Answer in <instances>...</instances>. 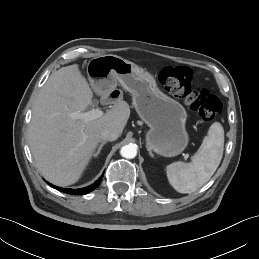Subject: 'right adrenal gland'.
<instances>
[{
  "instance_id": "right-adrenal-gland-1",
  "label": "right adrenal gland",
  "mask_w": 259,
  "mask_h": 259,
  "mask_svg": "<svg viewBox=\"0 0 259 259\" xmlns=\"http://www.w3.org/2000/svg\"><path fill=\"white\" fill-rule=\"evenodd\" d=\"M105 144H106L105 141L101 142V144L99 145V147H98V149H97V152L93 155L94 157H97V156L100 154V152H101V150H102V148H103V146H104Z\"/></svg>"
}]
</instances>
